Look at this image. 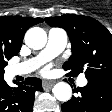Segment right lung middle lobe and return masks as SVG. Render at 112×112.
Wrapping results in <instances>:
<instances>
[{
    "mask_svg": "<svg viewBox=\"0 0 112 112\" xmlns=\"http://www.w3.org/2000/svg\"><path fill=\"white\" fill-rule=\"evenodd\" d=\"M20 49H2L0 48V80H3L4 67L7 65V60L17 55Z\"/></svg>",
    "mask_w": 112,
    "mask_h": 112,
    "instance_id": "right-lung-middle-lobe-1",
    "label": "right lung middle lobe"
}]
</instances>
